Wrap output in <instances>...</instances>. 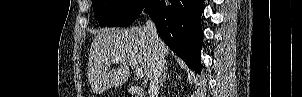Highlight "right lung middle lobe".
<instances>
[{
	"label": "right lung middle lobe",
	"mask_w": 302,
	"mask_h": 97,
	"mask_svg": "<svg viewBox=\"0 0 302 97\" xmlns=\"http://www.w3.org/2000/svg\"><path fill=\"white\" fill-rule=\"evenodd\" d=\"M149 0H93V10L101 27L132 24Z\"/></svg>",
	"instance_id": "obj_1"
}]
</instances>
